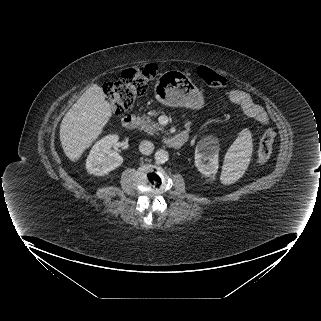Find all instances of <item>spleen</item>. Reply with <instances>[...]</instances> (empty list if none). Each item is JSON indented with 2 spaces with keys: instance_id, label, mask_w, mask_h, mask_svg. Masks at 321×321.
Returning a JSON list of instances; mask_svg holds the SVG:
<instances>
[{
  "instance_id": "spleen-1",
  "label": "spleen",
  "mask_w": 321,
  "mask_h": 321,
  "mask_svg": "<svg viewBox=\"0 0 321 321\" xmlns=\"http://www.w3.org/2000/svg\"><path fill=\"white\" fill-rule=\"evenodd\" d=\"M253 143L249 129H243L228 149L223 163L221 181L231 184L239 179L248 167L252 155Z\"/></svg>"
}]
</instances>
